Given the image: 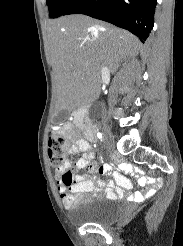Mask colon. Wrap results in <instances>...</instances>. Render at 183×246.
<instances>
[{
    "mask_svg": "<svg viewBox=\"0 0 183 246\" xmlns=\"http://www.w3.org/2000/svg\"><path fill=\"white\" fill-rule=\"evenodd\" d=\"M67 146L63 136L59 134H52L48 139V156L51 166L58 170L67 162ZM67 173H72L67 172ZM73 178H65L70 183Z\"/></svg>",
    "mask_w": 183,
    "mask_h": 246,
    "instance_id": "obj_1",
    "label": "colon"
}]
</instances>
